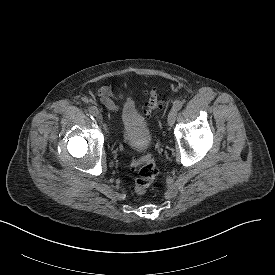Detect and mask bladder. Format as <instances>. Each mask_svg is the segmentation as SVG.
<instances>
[{"label": "bladder", "mask_w": 275, "mask_h": 275, "mask_svg": "<svg viewBox=\"0 0 275 275\" xmlns=\"http://www.w3.org/2000/svg\"><path fill=\"white\" fill-rule=\"evenodd\" d=\"M120 126L127 143L141 152L149 144V132L145 120L138 114L132 97L125 98L119 106Z\"/></svg>", "instance_id": "1"}]
</instances>
